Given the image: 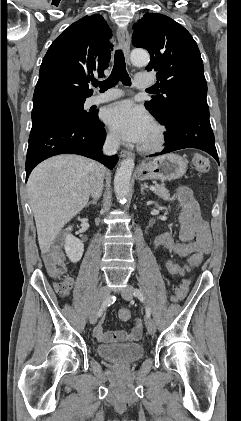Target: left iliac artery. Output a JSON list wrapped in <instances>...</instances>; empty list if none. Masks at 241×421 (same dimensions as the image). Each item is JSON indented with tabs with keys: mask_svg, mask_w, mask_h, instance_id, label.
I'll use <instances>...</instances> for the list:
<instances>
[{
	"mask_svg": "<svg viewBox=\"0 0 241 421\" xmlns=\"http://www.w3.org/2000/svg\"><path fill=\"white\" fill-rule=\"evenodd\" d=\"M134 295L140 300V301H142V302H144L145 303V298H144V296H143V294H142V292L139 290V289H135V291H134ZM145 310H146V317L147 318H150V316H151V310H150V307L148 306V305H146L145 306Z\"/></svg>",
	"mask_w": 241,
	"mask_h": 421,
	"instance_id": "obj_1",
	"label": "left iliac artery"
}]
</instances>
